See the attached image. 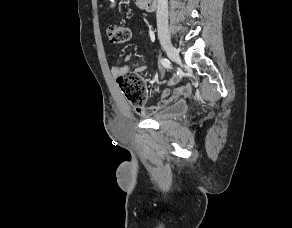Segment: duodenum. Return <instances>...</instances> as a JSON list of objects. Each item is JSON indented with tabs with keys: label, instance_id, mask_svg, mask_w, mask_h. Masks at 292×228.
I'll return each mask as SVG.
<instances>
[{
	"label": "duodenum",
	"instance_id": "duodenum-1",
	"mask_svg": "<svg viewBox=\"0 0 292 228\" xmlns=\"http://www.w3.org/2000/svg\"><path fill=\"white\" fill-rule=\"evenodd\" d=\"M140 8L151 12L156 8L157 0H137Z\"/></svg>",
	"mask_w": 292,
	"mask_h": 228
}]
</instances>
